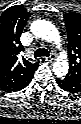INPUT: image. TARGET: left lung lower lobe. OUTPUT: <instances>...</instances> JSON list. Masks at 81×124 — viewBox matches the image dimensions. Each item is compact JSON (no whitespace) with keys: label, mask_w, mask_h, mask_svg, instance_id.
Returning a JSON list of instances; mask_svg holds the SVG:
<instances>
[{"label":"left lung lower lobe","mask_w":81,"mask_h":124,"mask_svg":"<svg viewBox=\"0 0 81 124\" xmlns=\"http://www.w3.org/2000/svg\"><path fill=\"white\" fill-rule=\"evenodd\" d=\"M56 82L58 86L70 93H79L81 92V86L78 84H75L74 82L70 81L67 78H57Z\"/></svg>","instance_id":"left-lung-lower-lobe-1"}]
</instances>
